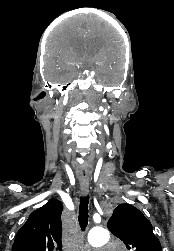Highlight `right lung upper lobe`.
<instances>
[{"label": "right lung upper lobe", "mask_w": 174, "mask_h": 251, "mask_svg": "<svg viewBox=\"0 0 174 251\" xmlns=\"http://www.w3.org/2000/svg\"><path fill=\"white\" fill-rule=\"evenodd\" d=\"M62 204L50 199L32 212L18 231L12 251H61Z\"/></svg>", "instance_id": "right-lung-upper-lobe-1"}]
</instances>
